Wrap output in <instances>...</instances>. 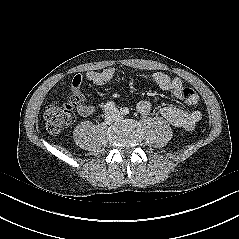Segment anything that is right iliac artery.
<instances>
[{"instance_id":"obj_1","label":"right iliac artery","mask_w":239,"mask_h":239,"mask_svg":"<svg viewBox=\"0 0 239 239\" xmlns=\"http://www.w3.org/2000/svg\"><path fill=\"white\" fill-rule=\"evenodd\" d=\"M114 107H115V103L114 102H108V103H106V105H104L103 112L108 113Z\"/></svg>"}]
</instances>
